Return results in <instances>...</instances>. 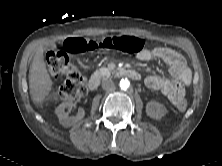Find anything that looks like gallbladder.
<instances>
[{
  "mask_svg": "<svg viewBox=\"0 0 222 166\" xmlns=\"http://www.w3.org/2000/svg\"><path fill=\"white\" fill-rule=\"evenodd\" d=\"M55 46H56L55 44H51L50 48H55Z\"/></svg>",
  "mask_w": 222,
  "mask_h": 166,
  "instance_id": "bac80fb5",
  "label": "gallbladder"
}]
</instances>
